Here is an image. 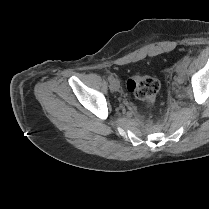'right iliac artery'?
<instances>
[{
    "label": "right iliac artery",
    "instance_id": "obj_1",
    "mask_svg": "<svg viewBox=\"0 0 209 209\" xmlns=\"http://www.w3.org/2000/svg\"><path fill=\"white\" fill-rule=\"evenodd\" d=\"M108 80H109V82H111L112 80H114L113 75H109V76H108Z\"/></svg>",
    "mask_w": 209,
    "mask_h": 209
}]
</instances>
